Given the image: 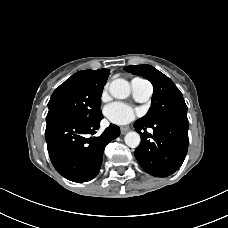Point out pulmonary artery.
I'll list each match as a JSON object with an SVG mask.
<instances>
[{
  "mask_svg": "<svg viewBox=\"0 0 228 228\" xmlns=\"http://www.w3.org/2000/svg\"><path fill=\"white\" fill-rule=\"evenodd\" d=\"M131 87L133 95L138 101L148 100L153 93L151 83L144 79L134 78L131 81Z\"/></svg>",
  "mask_w": 228,
  "mask_h": 228,
  "instance_id": "pulmonary-artery-1",
  "label": "pulmonary artery"
}]
</instances>
